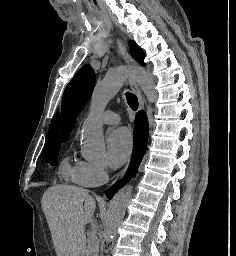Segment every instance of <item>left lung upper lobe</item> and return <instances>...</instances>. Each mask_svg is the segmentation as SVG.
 I'll return each mask as SVG.
<instances>
[{
  "mask_svg": "<svg viewBox=\"0 0 236 256\" xmlns=\"http://www.w3.org/2000/svg\"><path fill=\"white\" fill-rule=\"evenodd\" d=\"M130 53L137 62L143 65V51L134 41L130 42ZM94 84L95 73L89 65H85L67 85L63 95L61 110V133L63 142L67 140L77 116L91 96Z\"/></svg>",
  "mask_w": 236,
  "mask_h": 256,
  "instance_id": "obj_1",
  "label": "left lung upper lobe"
}]
</instances>
